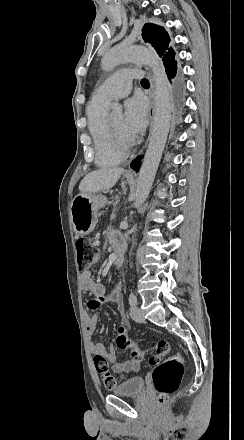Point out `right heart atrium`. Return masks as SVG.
Returning a JSON list of instances; mask_svg holds the SVG:
<instances>
[{"label":"right heart atrium","instance_id":"right-heart-atrium-1","mask_svg":"<svg viewBox=\"0 0 244 440\" xmlns=\"http://www.w3.org/2000/svg\"><path fill=\"white\" fill-rule=\"evenodd\" d=\"M126 139H131V137H130V136H127Z\"/></svg>","mask_w":244,"mask_h":440}]
</instances>
